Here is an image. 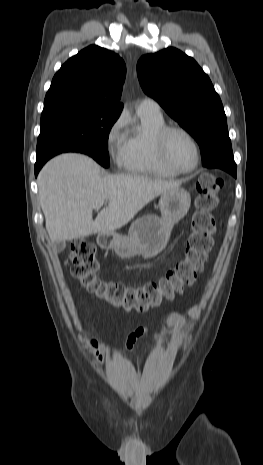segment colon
I'll return each instance as SVG.
<instances>
[{"mask_svg": "<svg viewBox=\"0 0 263 465\" xmlns=\"http://www.w3.org/2000/svg\"><path fill=\"white\" fill-rule=\"evenodd\" d=\"M223 180L203 174L196 183V211L192 217V232L187 240L184 258L158 281L139 287H128L119 282H105L97 277L100 269L95 247L77 240L71 245L67 259L71 273L90 293L127 310L146 311L163 300L172 299L186 286L193 284L202 270L207 254L213 246L216 222L212 211L218 204Z\"/></svg>", "mask_w": 263, "mask_h": 465, "instance_id": "colon-1", "label": "colon"}]
</instances>
